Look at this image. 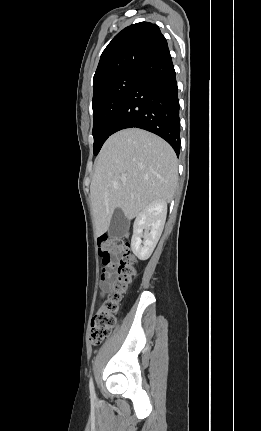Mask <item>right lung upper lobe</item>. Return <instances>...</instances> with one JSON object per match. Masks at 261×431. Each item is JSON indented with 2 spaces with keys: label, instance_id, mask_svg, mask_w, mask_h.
I'll return each mask as SVG.
<instances>
[{
  "label": "right lung upper lobe",
  "instance_id": "cb5924a9",
  "mask_svg": "<svg viewBox=\"0 0 261 431\" xmlns=\"http://www.w3.org/2000/svg\"><path fill=\"white\" fill-rule=\"evenodd\" d=\"M168 50L159 27L149 22L130 25L103 51L93 78V89L126 72L138 71Z\"/></svg>",
  "mask_w": 261,
  "mask_h": 431
}]
</instances>
